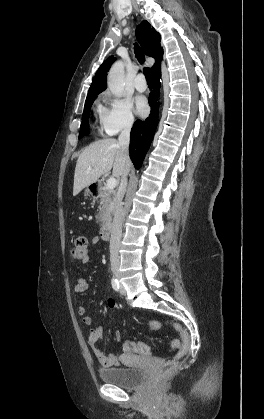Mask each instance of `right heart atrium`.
Returning a JSON list of instances; mask_svg holds the SVG:
<instances>
[{"instance_id":"right-heart-atrium-1","label":"right heart atrium","mask_w":264,"mask_h":419,"mask_svg":"<svg viewBox=\"0 0 264 419\" xmlns=\"http://www.w3.org/2000/svg\"><path fill=\"white\" fill-rule=\"evenodd\" d=\"M134 121L132 104L126 98L111 97L109 106L102 111L100 116L101 127L109 136L130 130Z\"/></svg>"}]
</instances>
